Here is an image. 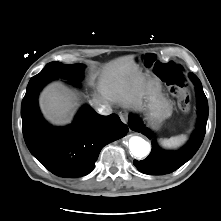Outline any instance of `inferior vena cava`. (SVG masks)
<instances>
[{
  "mask_svg": "<svg viewBox=\"0 0 221 221\" xmlns=\"http://www.w3.org/2000/svg\"><path fill=\"white\" fill-rule=\"evenodd\" d=\"M96 109L98 110V113L101 115H109L112 112V109L109 105H98L96 106Z\"/></svg>",
  "mask_w": 221,
  "mask_h": 221,
  "instance_id": "inferior-vena-cava-1",
  "label": "inferior vena cava"
}]
</instances>
